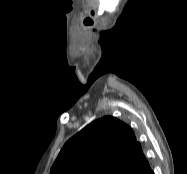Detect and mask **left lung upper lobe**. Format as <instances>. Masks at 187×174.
I'll return each mask as SVG.
<instances>
[{
    "mask_svg": "<svg viewBox=\"0 0 187 174\" xmlns=\"http://www.w3.org/2000/svg\"><path fill=\"white\" fill-rule=\"evenodd\" d=\"M149 167L132 129L106 116L87 125L61 149L50 174H139Z\"/></svg>",
    "mask_w": 187,
    "mask_h": 174,
    "instance_id": "left-lung-upper-lobe-1",
    "label": "left lung upper lobe"
}]
</instances>
